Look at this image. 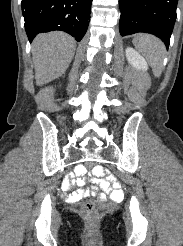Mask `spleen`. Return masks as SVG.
Returning <instances> with one entry per match:
<instances>
[{
	"instance_id": "spleen-1",
	"label": "spleen",
	"mask_w": 183,
	"mask_h": 246,
	"mask_svg": "<svg viewBox=\"0 0 183 246\" xmlns=\"http://www.w3.org/2000/svg\"><path fill=\"white\" fill-rule=\"evenodd\" d=\"M133 44L146 57L154 75L160 77L166 52L163 42L152 35L139 34L134 37Z\"/></svg>"
}]
</instances>
